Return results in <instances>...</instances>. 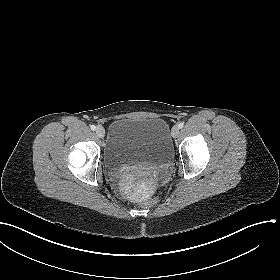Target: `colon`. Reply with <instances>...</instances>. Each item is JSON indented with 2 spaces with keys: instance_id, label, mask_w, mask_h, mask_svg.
Masks as SVG:
<instances>
[{
  "instance_id": "1",
  "label": "colon",
  "mask_w": 280,
  "mask_h": 280,
  "mask_svg": "<svg viewBox=\"0 0 280 280\" xmlns=\"http://www.w3.org/2000/svg\"><path fill=\"white\" fill-rule=\"evenodd\" d=\"M160 198L159 193H155L154 195L150 196L147 200H146V204L147 205H153L155 204Z\"/></svg>"
}]
</instances>
